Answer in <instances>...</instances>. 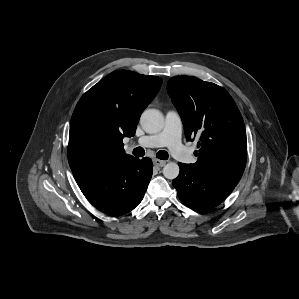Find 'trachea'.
<instances>
[{"label": "trachea", "instance_id": "trachea-1", "mask_svg": "<svg viewBox=\"0 0 299 299\" xmlns=\"http://www.w3.org/2000/svg\"><path fill=\"white\" fill-rule=\"evenodd\" d=\"M133 154L136 157H142L145 155V150L141 147H137L133 150ZM156 157L161 159V160H167L169 155L165 150H160L157 152Z\"/></svg>", "mask_w": 299, "mask_h": 299}]
</instances>
